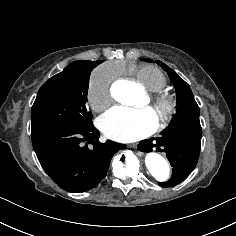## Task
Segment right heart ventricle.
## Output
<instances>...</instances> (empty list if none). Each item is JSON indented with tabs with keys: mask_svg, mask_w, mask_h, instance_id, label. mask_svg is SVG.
Instances as JSON below:
<instances>
[{
	"mask_svg": "<svg viewBox=\"0 0 236 236\" xmlns=\"http://www.w3.org/2000/svg\"><path fill=\"white\" fill-rule=\"evenodd\" d=\"M130 74L131 81L137 82L150 93H158L167 86L165 75L157 68L149 65L143 66H122L118 75Z\"/></svg>",
	"mask_w": 236,
	"mask_h": 236,
	"instance_id": "obj_1",
	"label": "right heart ventricle"
}]
</instances>
